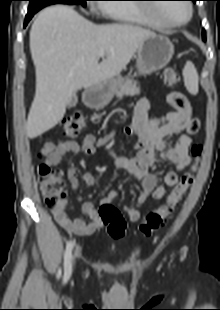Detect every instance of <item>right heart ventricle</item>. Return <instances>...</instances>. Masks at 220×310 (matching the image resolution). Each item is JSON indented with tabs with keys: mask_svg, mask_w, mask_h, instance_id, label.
<instances>
[{
	"mask_svg": "<svg viewBox=\"0 0 220 310\" xmlns=\"http://www.w3.org/2000/svg\"><path fill=\"white\" fill-rule=\"evenodd\" d=\"M102 10L119 22L152 28H164V26L151 17L144 8L138 6L110 4L102 8Z\"/></svg>",
	"mask_w": 220,
	"mask_h": 310,
	"instance_id": "e07e8e85",
	"label": "right heart ventricle"
}]
</instances>
